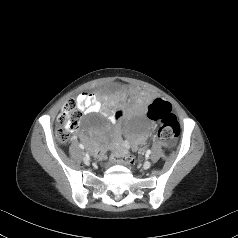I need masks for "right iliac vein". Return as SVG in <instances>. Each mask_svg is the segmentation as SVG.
I'll list each match as a JSON object with an SVG mask.
<instances>
[{
	"label": "right iliac vein",
	"instance_id": "1",
	"mask_svg": "<svg viewBox=\"0 0 238 238\" xmlns=\"http://www.w3.org/2000/svg\"><path fill=\"white\" fill-rule=\"evenodd\" d=\"M84 162L87 164V165H90V162L88 161V159L85 157L84 158Z\"/></svg>",
	"mask_w": 238,
	"mask_h": 238
}]
</instances>
